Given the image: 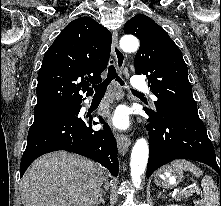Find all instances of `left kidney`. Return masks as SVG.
Here are the masks:
<instances>
[{
  "instance_id": "left-kidney-1",
  "label": "left kidney",
  "mask_w": 221,
  "mask_h": 206,
  "mask_svg": "<svg viewBox=\"0 0 221 206\" xmlns=\"http://www.w3.org/2000/svg\"><path fill=\"white\" fill-rule=\"evenodd\" d=\"M167 206H180V205H177V204L174 205V204H173V205H167Z\"/></svg>"
}]
</instances>
